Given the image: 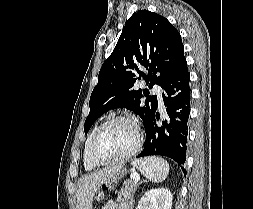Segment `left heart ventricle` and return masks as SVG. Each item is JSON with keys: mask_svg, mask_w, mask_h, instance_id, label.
<instances>
[{"mask_svg": "<svg viewBox=\"0 0 253 209\" xmlns=\"http://www.w3.org/2000/svg\"><path fill=\"white\" fill-rule=\"evenodd\" d=\"M134 127L126 121H115L101 132L96 154L102 159H115L127 153L135 144Z\"/></svg>", "mask_w": 253, "mask_h": 209, "instance_id": "obj_1", "label": "left heart ventricle"}]
</instances>
